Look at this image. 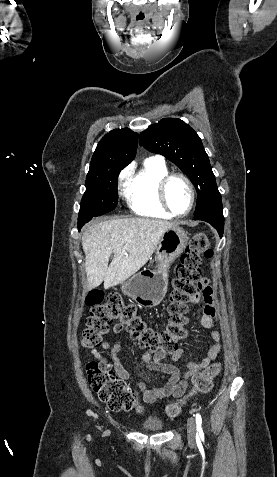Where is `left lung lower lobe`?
<instances>
[{
    "instance_id": "left-lung-lower-lobe-1",
    "label": "left lung lower lobe",
    "mask_w": 277,
    "mask_h": 477,
    "mask_svg": "<svg viewBox=\"0 0 277 477\" xmlns=\"http://www.w3.org/2000/svg\"><path fill=\"white\" fill-rule=\"evenodd\" d=\"M194 220H203L210 223L218 231L220 237H222L223 230H224V217H223L222 204L213 207L209 211L199 216H195Z\"/></svg>"
}]
</instances>
